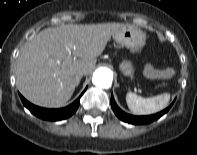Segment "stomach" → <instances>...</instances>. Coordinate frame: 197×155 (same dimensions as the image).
<instances>
[{"instance_id":"obj_1","label":"stomach","mask_w":197,"mask_h":155,"mask_svg":"<svg viewBox=\"0 0 197 155\" xmlns=\"http://www.w3.org/2000/svg\"><path fill=\"white\" fill-rule=\"evenodd\" d=\"M114 38L119 44L129 49L132 53L140 52L146 41L145 34L139 28L131 25H125L118 29L114 34ZM120 70L123 75L133 78L135 69L131 61H122Z\"/></svg>"}]
</instances>
